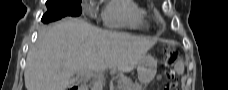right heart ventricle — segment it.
Instances as JSON below:
<instances>
[{
    "mask_svg": "<svg viewBox=\"0 0 228 90\" xmlns=\"http://www.w3.org/2000/svg\"><path fill=\"white\" fill-rule=\"evenodd\" d=\"M102 17L109 27L141 29L146 22V10L136 1L114 0L107 4Z\"/></svg>",
    "mask_w": 228,
    "mask_h": 90,
    "instance_id": "1",
    "label": "right heart ventricle"
}]
</instances>
